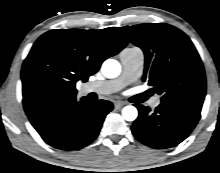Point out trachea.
<instances>
[{"label": "trachea", "mask_w": 220, "mask_h": 173, "mask_svg": "<svg viewBox=\"0 0 220 173\" xmlns=\"http://www.w3.org/2000/svg\"><path fill=\"white\" fill-rule=\"evenodd\" d=\"M151 96L150 91H146L133 97L135 103H142Z\"/></svg>", "instance_id": "obj_1"}]
</instances>
